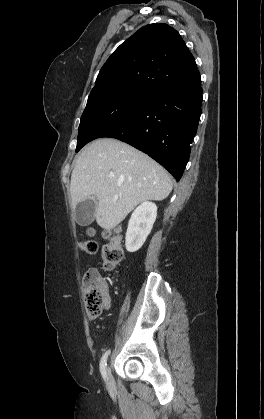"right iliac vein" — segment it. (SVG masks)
<instances>
[{
  "instance_id": "63e3f726",
  "label": "right iliac vein",
  "mask_w": 264,
  "mask_h": 419,
  "mask_svg": "<svg viewBox=\"0 0 264 419\" xmlns=\"http://www.w3.org/2000/svg\"><path fill=\"white\" fill-rule=\"evenodd\" d=\"M107 371H108V384L111 385L112 384V377H111L110 369L108 368Z\"/></svg>"
}]
</instances>
